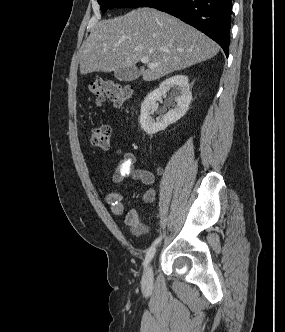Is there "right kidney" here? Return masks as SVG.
<instances>
[{
  "mask_svg": "<svg viewBox=\"0 0 285 332\" xmlns=\"http://www.w3.org/2000/svg\"><path fill=\"white\" fill-rule=\"evenodd\" d=\"M170 89H172V97L177 104L174 109L169 110L168 113L155 120L152 115L157 109L156 101ZM191 100L192 94L186 75H175L166 79L157 89L150 92L143 101L140 114L141 128L150 135L166 129L186 114Z\"/></svg>",
  "mask_w": 285,
  "mask_h": 332,
  "instance_id": "ca27d5eb",
  "label": "right kidney"
}]
</instances>
